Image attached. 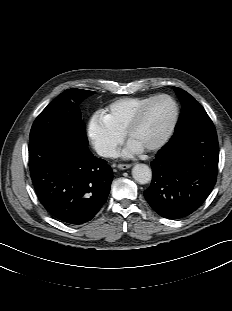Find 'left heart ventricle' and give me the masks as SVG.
Segmentation results:
<instances>
[{"instance_id": "1", "label": "left heart ventricle", "mask_w": 232, "mask_h": 311, "mask_svg": "<svg viewBox=\"0 0 232 311\" xmlns=\"http://www.w3.org/2000/svg\"><path fill=\"white\" fill-rule=\"evenodd\" d=\"M173 116V106L166 99L157 100L147 109L142 121L133 130L129 140L142 149L154 144L166 131Z\"/></svg>"}]
</instances>
